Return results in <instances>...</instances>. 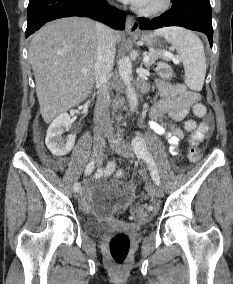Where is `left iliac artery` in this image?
<instances>
[{
	"label": "left iliac artery",
	"instance_id": "44dca946",
	"mask_svg": "<svg viewBox=\"0 0 233 284\" xmlns=\"http://www.w3.org/2000/svg\"><path fill=\"white\" fill-rule=\"evenodd\" d=\"M132 146H133L135 153L138 155V157H141L142 159H144L146 161V163L148 164V168H149V171H150V174H151L153 181L156 184H159L160 183V177H159V174H158V170H157V167L155 165V162H154L151 154L147 150L146 143H145L144 139L141 138V137H135L132 140Z\"/></svg>",
	"mask_w": 233,
	"mask_h": 284
}]
</instances>
